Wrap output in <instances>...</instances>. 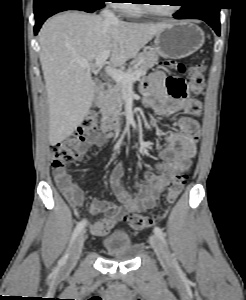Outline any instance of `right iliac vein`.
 Here are the masks:
<instances>
[{"label":"right iliac vein","mask_w":246,"mask_h":300,"mask_svg":"<svg viewBox=\"0 0 246 300\" xmlns=\"http://www.w3.org/2000/svg\"><path fill=\"white\" fill-rule=\"evenodd\" d=\"M84 231H82L75 240L72 250L65 264V270H71L77 263L85 241Z\"/></svg>","instance_id":"right-iliac-vein-1"}]
</instances>
